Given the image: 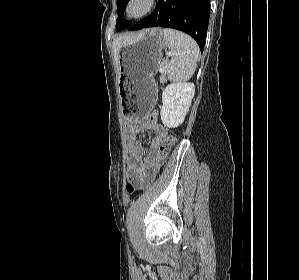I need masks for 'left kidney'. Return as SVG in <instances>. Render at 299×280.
<instances>
[{"label": "left kidney", "mask_w": 299, "mask_h": 280, "mask_svg": "<svg viewBox=\"0 0 299 280\" xmlns=\"http://www.w3.org/2000/svg\"><path fill=\"white\" fill-rule=\"evenodd\" d=\"M193 83L177 82L165 87L162 93L161 121L169 128L181 125L194 97Z\"/></svg>", "instance_id": "left-kidney-1"}]
</instances>
